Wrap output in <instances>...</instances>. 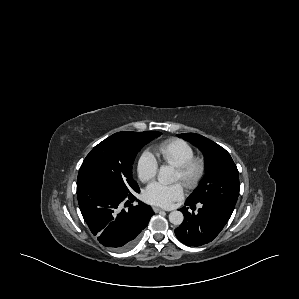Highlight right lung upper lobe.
Listing matches in <instances>:
<instances>
[{"mask_svg": "<svg viewBox=\"0 0 299 299\" xmlns=\"http://www.w3.org/2000/svg\"><path fill=\"white\" fill-rule=\"evenodd\" d=\"M138 133L140 132H119V134L125 138H128V139H133L135 138Z\"/></svg>", "mask_w": 299, "mask_h": 299, "instance_id": "1", "label": "right lung upper lobe"}]
</instances>
